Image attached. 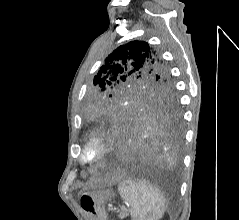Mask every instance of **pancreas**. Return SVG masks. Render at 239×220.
<instances>
[{
    "label": "pancreas",
    "mask_w": 239,
    "mask_h": 220,
    "mask_svg": "<svg viewBox=\"0 0 239 220\" xmlns=\"http://www.w3.org/2000/svg\"><path fill=\"white\" fill-rule=\"evenodd\" d=\"M126 215H127V213L125 212V208H123L120 217H125Z\"/></svg>",
    "instance_id": "pancreas-1"
}]
</instances>
